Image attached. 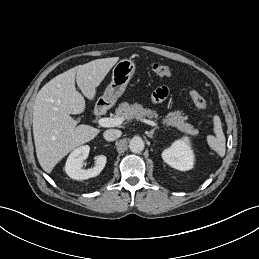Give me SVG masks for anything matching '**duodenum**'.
<instances>
[{"mask_svg":"<svg viewBox=\"0 0 259 259\" xmlns=\"http://www.w3.org/2000/svg\"><path fill=\"white\" fill-rule=\"evenodd\" d=\"M105 111V107L100 105V106H97L96 109H95V115L96 116H100L104 113Z\"/></svg>","mask_w":259,"mask_h":259,"instance_id":"duodenum-1","label":"duodenum"}]
</instances>
